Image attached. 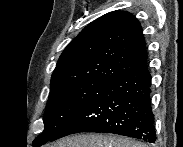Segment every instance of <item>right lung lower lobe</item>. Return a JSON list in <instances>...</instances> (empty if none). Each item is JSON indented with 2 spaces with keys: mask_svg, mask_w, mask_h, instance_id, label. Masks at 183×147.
Returning <instances> with one entry per match:
<instances>
[{
  "mask_svg": "<svg viewBox=\"0 0 183 147\" xmlns=\"http://www.w3.org/2000/svg\"><path fill=\"white\" fill-rule=\"evenodd\" d=\"M151 86L149 68L114 80L69 118L53 140L79 132H103L154 143Z\"/></svg>",
  "mask_w": 183,
  "mask_h": 147,
  "instance_id": "obj_1",
  "label": "right lung lower lobe"
}]
</instances>
